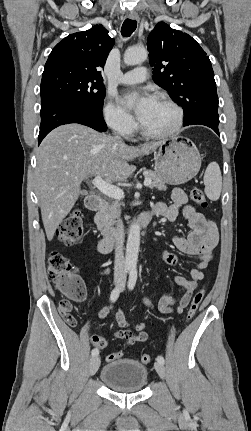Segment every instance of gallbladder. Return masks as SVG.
<instances>
[{
	"instance_id": "gallbladder-1",
	"label": "gallbladder",
	"mask_w": 251,
	"mask_h": 431,
	"mask_svg": "<svg viewBox=\"0 0 251 431\" xmlns=\"http://www.w3.org/2000/svg\"><path fill=\"white\" fill-rule=\"evenodd\" d=\"M87 194V191L86 190H82L81 191V195H86Z\"/></svg>"
}]
</instances>
